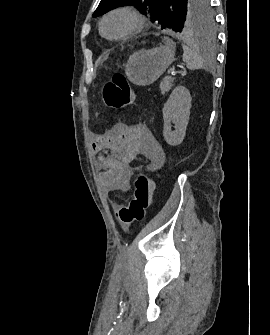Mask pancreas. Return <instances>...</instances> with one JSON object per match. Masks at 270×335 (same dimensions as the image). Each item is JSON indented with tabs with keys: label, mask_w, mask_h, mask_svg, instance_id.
<instances>
[{
	"label": "pancreas",
	"mask_w": 270,
	"mask_h": 335,
	"mask_svg": "<svg viewBox=\"0 0 270 335\" xmlns=\"http://www.w3.org/2000/svg\"><path fill=\"white\" fill-rule=\"evenodd\" d=\"M174 80L175 78H171V76H165V78H163V82L160 84L161 94H166V92L171 90Z\"/></svg>",
	"instance_id": "obj_1"
}]
</instances>
